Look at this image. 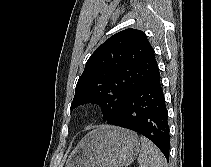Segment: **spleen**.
Returning <instances> with one entry per match:
<instances>
[{"instance_id": "1", "label": "spleen", "mask_w": 211, "mask_h": 167, "mask_svg": "<svg viewBox=\"0 0 211 167\" xmlns=\"http://www.w3.org/2000/svg\"><path fill=\"white\" fill-rule=\"evenodd\" d=\"M142 148L138 157L139 167H167L162 152L146 137H141Z\"/></svg>"}]
</instances>
